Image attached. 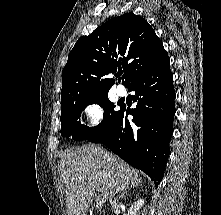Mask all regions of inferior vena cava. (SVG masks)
<instances>
[{
    "label": "inferior vena cava",
    "instance_id": "1",
    "mask_svg": "<svg viewBox=\"0 0 221 215\" xmlns=\"http://www.w3.org/2000/svg\"><path fill=\"white\" fill-rule=\"evenodd\" d=\"M109 200H110V202H112V197H110V199H109Z\"/></svg>",
    "mask_w": 221,
    "mask_h": 215
}]
</instances>
